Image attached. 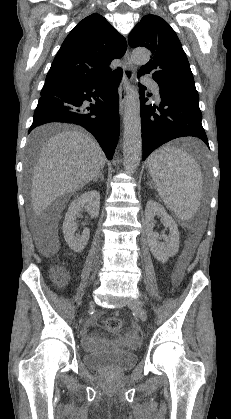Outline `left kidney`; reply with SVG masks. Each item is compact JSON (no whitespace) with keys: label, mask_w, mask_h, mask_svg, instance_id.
Instances as JSON below:
<instances>
[{"label":"left kidney","mask_w":231,"mask_h":419,"mask_svg":"<svg viewBox=\"0 0 231 419\" xmlns=\"http://www.w3.org/2000/svg\"><path fill=\"white\" fill-rule=\"evenodd\" d=\"M158 216L164 226L169 228V235H163L159 237L158 233L154 231L155 220ZM145 225L147 241L150 247V251L153 256L161 261L166 262L169 257H173L178 253L179 250V231L176 222L166 212L164 207L159 203L150 200L146 204L145 209ZM163 238L164 242H159V239Z\"/></svg>","instance_id":"1"}]
</instances>
